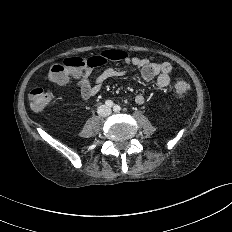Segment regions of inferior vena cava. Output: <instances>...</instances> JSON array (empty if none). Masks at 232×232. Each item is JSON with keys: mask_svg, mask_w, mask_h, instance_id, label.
<instances>
[{"mask_svg": "<svg viewBox=\"0 0 232 232\" xmlns=\"http://www.w3.org/2000/svg\"><path fill=\"white\" fill-rule=\"evenodd\" d=\"M97 112L100 116H108L111 114V109L105 105H101L98 107Z\"/></svg>", "mask_w": 232, "mask_h": 232, "instance_id": "obj_1", "label": "inferior vena cava"}]
</instances>
